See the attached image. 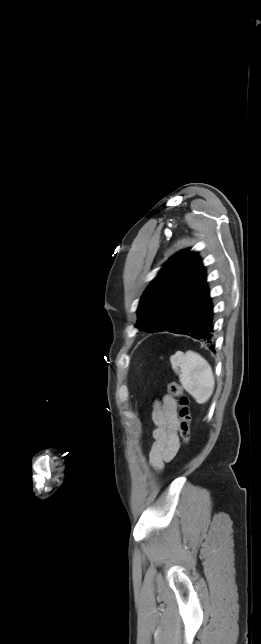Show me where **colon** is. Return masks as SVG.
I'll list each match as a JSON object with an SVG mask.
<instances>
[{"label": "colon", "instance_id": "1", "mask_svg": "<svg viewBox=\"0 0 261 644\" xmlns=\"http://www.w3.org/2000/svg\"><path fill=\"white\" fill-rule=\"evenodd\" d=\"M168 390L178 399V418H179V432L183 443H187L190 439V424L191 412L189 407V399L184 395L182 387L177 382H170Z\"/></svg>", "mask_w": 261, "mask_h": 644}]
</instances>
